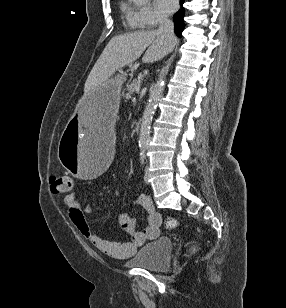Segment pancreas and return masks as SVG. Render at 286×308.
<instances>
[{"label": "pancreas", "mask_w": 286, "mask_h": 308, "mask_svg": "<svg viewBox=\"0 0 286 308\" xmlns=\"http://www.w3.org/2000/svg\"><path fill=\"white\" fill-rule=\"evenodd\" d=\"M137 86H140V81L135 79L130 85L127 86V95L130 96L134 94Z\"/></svg>", "instance_id": "cf45deb5"}]
</instances>
